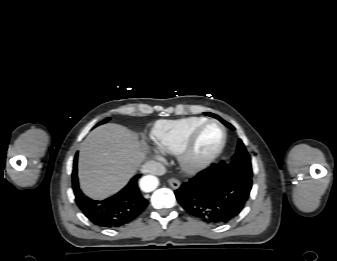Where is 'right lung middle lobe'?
Here are the masks:
<instances>
[{
  "instance_id": "1",
  "label": "right lung middle lobe",
  "mask_w": 337,
  "mask_h": 261,
  "mask_svg": "<svg viewBox=\"0 0 337 261\" xmlns=\"http://www.w3.org/2000/svg\"><path fill=\"white\" fill-rule=\"evenodd\" d=\"M110 118L105 119L104 121L100 122L98 125L106 123Z\"/></svg>"
}]
</instances>
